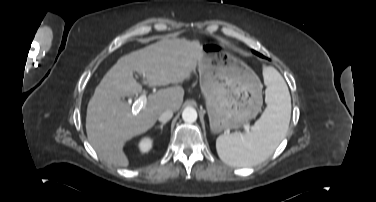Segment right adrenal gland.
Instances as JSON below:
<instances>
[{
  "label": "right adrenal gland",
  "instance_id": "1",
  "mask_svg": "<svg viewBox=\"0 0 376 202\" xmlns=\"http://www.w3.org/2000/svg\"><path fill=\"white\" fill-rule=\"evenodd\" d=\"M166 123H162L159 127H156V128H160L161 130H163V126L165 125Z\"/></svg>",
  "mask_w": 376,
  "mask_h": 202
}]
</instances>
